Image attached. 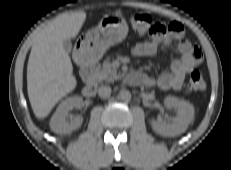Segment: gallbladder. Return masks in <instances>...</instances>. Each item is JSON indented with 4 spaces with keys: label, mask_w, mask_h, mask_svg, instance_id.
<instances>
[{
    "label": "gallbladder",
    "mask_w": 231,
    "mask_h": 170,
    "mask_svg": "<svg viewBox=\"0 0 231 170\" xmlns=\"http://www.w3.org/2000/svg\"><path fill=\"white\" fill-rule=\"evenodd\" d=\"M63 47L66 50V52L70 53L72 50V43L70 41V39H65L63 41Z\"/></svg>",
    "instance_id": "gallbladder-1"
}]
</instances>
